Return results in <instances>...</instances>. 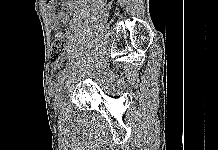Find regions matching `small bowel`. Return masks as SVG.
Here are the masks:
<instances>
[{
	"instance_id": "c3829d8e",
	"label": "small bowel",
	"mask_w": 218,
	"mask_h": 150,
	"mask_svg": "<svg viewBox=\"0 0 218 150\" xmlns=\"http://www.w3.org/2000/svg\"><path fill=\"white\" fill-rule=\"evenodd\" d=\"M58 0H46L47 9L50 12L52 27L58 29L60 24L67 23L70 15L73 12V0H64L63 8L60 12L55 13V7Z\"/></svg>"
}]
</instances>
